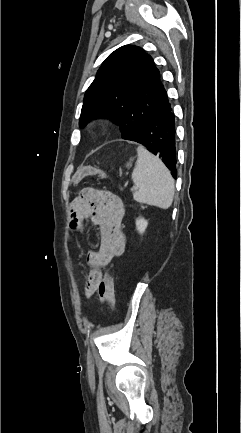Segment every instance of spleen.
<instances>
[{
    "label": "spleen",
    "mask_w": 241,
    "mask_h": 433,
    "mask_svg": "<svg viewBox=\"0 0 241 433\" xmlns=\"http://www.w3.org/2000/svg\"><path fill=\"white\" fill-rule=\"evenodd\" d=\"M138 159L132 173L133 182L138 186L134 192L135 201L161 209H168L173 202L174 180L164 165L155 155L144 147L137 148Z\"/></svg>",
    "instance_id": "1"
}]
</instances>
